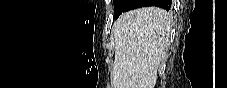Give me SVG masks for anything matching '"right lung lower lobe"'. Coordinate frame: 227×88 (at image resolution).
I'll return each instance as SVG.
<instances>
[{
	"label": "right lung lower lobe",
	"instance_id": "98d812e1",
	"mask_svg": "<svg viewBox=\"0 0 227 88\" xmlns=\"http://www.w3.org/2000/svg\"><path fill=\"white\" fill-rule=\"evenodd\" d=\"M171 2L172 0H130L123 12L145 6H158L163 9L169 10L171 7Z\"/></svg>",
	"mask_w": 227,
	"mask_h": 88
}]
</instances>
